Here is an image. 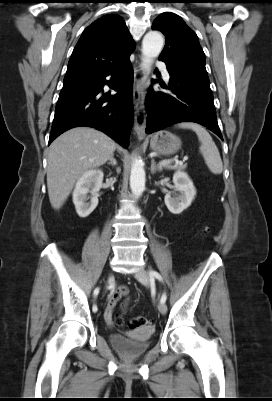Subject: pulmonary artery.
Returning a JSON list of instances; mask_svg holds the SVG:
<instances>
[{
  "label": "pulmonary artery",
  "mask_w": 272,
  "mask_h": 401,
  "mask_svg": "<svg viewBox=\"0 0 272 401\" xmlns=\"http://www.w3.org/2000/svg\"><path fill=\"white\" fill-rule=\"evenodd\" d=\"M158 66L161 68V70H162V75H163V78L165 79V80H169V78H170V75H169V73H168V71H167V69H166V66H165V63L164 62H158Z\"/></svg>",
  "instance_id": "pulmonary-artery-1"
}]
</instances>
